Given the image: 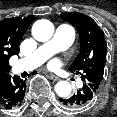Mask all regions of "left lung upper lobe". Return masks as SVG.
I'll list each match as a JSON object with an SVG mask.
<instances>
[{
  "mask_svg": "<svg viewBox=\"0 0 117 117\" xmlns=\"http://www.w3.org/2000/svg\"><path fill=\"white\" fill-rule=\"evenodd\" d=\"M60 15L77 28L80 36V54L69 69L81 74L83 82L97 93L106 62L107 44L104 32L91 17L82 13L64 12Z\"/></svg>",
  "mask_w": 117,
  "mask_h": 117,
  "instance_id": "1",
  "label": "left lung upper lobe"
}]
</instances>
